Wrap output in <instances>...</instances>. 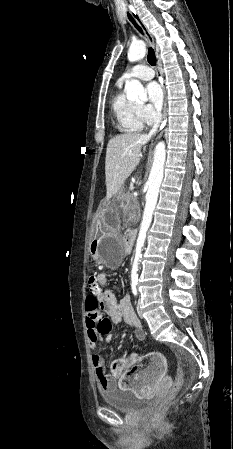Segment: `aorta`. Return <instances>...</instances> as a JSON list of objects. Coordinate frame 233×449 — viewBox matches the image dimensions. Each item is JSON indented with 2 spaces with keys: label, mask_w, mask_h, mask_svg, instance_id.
I'll use <instances>...</instances> for the list:
<instances>
[{
  "label": "aorta",
  "mask_w": 233,
  "mask_h": 449,
  "mask_svg": "<svg viewBox=\"0 0 233 449\" xmlns=\"http://www.w3.org/2000/svg\"><path fill=\"white\" fill-rule=\"evenodd\" d=\"M146 54V45L143 41H136L130 45L128 51V60L130 62L142 59ZM125 91L129 100H146L147 95L143 85L138 80H131L126 83ZM166 159V146L163 141H160L154 151V160L152 169L148 178V191L146 194V205L143 212L140 231L138 234L135 256L132 266V278L137 277L138 265L140 262L142 248L145 243L146 233L152 221V215L157 203L158 193L161 182L163 180L164 163Z\"/></svg>",
  "instance_id": "762f6f07"
}]
</instances>
